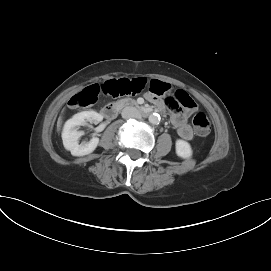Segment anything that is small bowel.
Wrapping results in <instances>:
<instances>
[{"label":"small bowel","mask_w":271,"mask_h":271,"mask_svg":"<svg viewBox=\"0 0 271 271\" xmlns=\"http://www.w3.org/2000/svg\"><path fill=\"white\" fill-rule=\"evenodd\" d=\"M167 87V80H160L158 76H153L149 81L145 98L150 102L160 104V99L156 95H166ZM171 119L173 125L177 129L178 135L182 139L191 140L193 138V130L190 125L187 124L186 118L183 114L173 111Z\"/></svg>","instance_id":"obj_1"}]
</instances>
